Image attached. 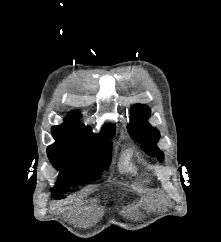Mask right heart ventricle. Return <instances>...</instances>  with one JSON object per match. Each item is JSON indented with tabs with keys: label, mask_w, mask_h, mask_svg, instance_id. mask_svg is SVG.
I'll return each mask as SVG.
<instances>
[{
	"label": "right heart ventricle",
	"mask_w": 221,
	"mask_h": 242,
	"mask_svg": "<svg viewBox=\"0 0 221 242\" xmlns=\"http://www.w3.org/2000/svg\"><path fill=\"white\" fill-rule=\"evenodd\" d=\"M118 169L120 173L130 177H139L142 174V165L135 156L132 148L123 149L118 160Z\"/></svg>",
	"instance_id": "obj_1"
}]
</instances>
